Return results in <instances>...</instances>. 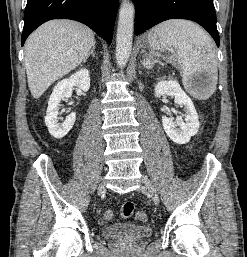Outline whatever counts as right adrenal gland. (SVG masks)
Listing matches in <instances>:
<instances>
[{
	"mask_svg": "<svg viewBox=\"0 0 247 257\" xmlns=\"http://www.w3.org/2000/svg\"><path fill=\"white\" fill-rule=\"evenodd\" d=\"M95 44L96 42L93 44L91 51L88 53V55L86 56V58L84 59V62H86L88 60V58L90 57V55H92V57H95L94 54V50H95Z\"/></svg>",
	"mask_w": 247,
	"mask_h": 257,
	"instance_id": "obj_1",
	"label": "right adrenal gland"
}]
</instances>
